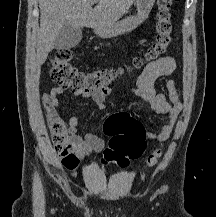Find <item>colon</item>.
Instances as JSON below:
<instances>
[{
  "mask_svg": "<svg viewBox=\"0 0 216 217\" xmlns=\"http://www.w3.org/2000/svg\"><path fill=\"white\" fill-rule=\"evenodd\" d=\"M177 1L157 0L154 42L143 56L133 59L134 68H140L147 62L157 61L168 53L172 44V6ZM73 56V50L65 48L58 50L51 60L50 76L60 86L74 90H96L107 87L113 81L114 71L109 69L90 72L80 70L70 63ZM45 105L55 152L66 168L74 169L79 160L70 147L66 125L55 110L51 109L47 103ZM104 131L111 138L103 151V164H116L124 167L143 153L146 146L144 127L129 114L118 113L110 116L104 123ZM161 157V148L155 149L148 155L146 167L157 166Z\"/></svg>",
  "mask_w": 216,
  "mask_h": 217,
  "instance_id": "colon-1",
  "label": "colon"
}]
</instances>
